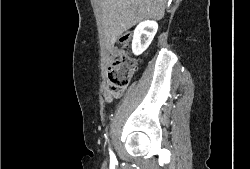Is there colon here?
Returning <instances> with one entry per match:
<instances>
[{
    "instance_id": "colon-1",
    "label": "colon",
    "mask_w": 250,
    "mask_h": 169,
    "mask_svg": "<svg viewBox=\"0 0 250 169\" xmlns=\"http://www.w3.org/2000/svg\"><path fill=\"white\" fill-rule=\"evenodd\" d=\"M133 37L132 35L130 36ZM121 47L120 55L117 56L109 67L107 76L108 91L113 97H120L129 85L133 74L137 69V59L128 54V44L131 39L128 34H119L115 39Z\"/></svg>"
}]
</instances>
